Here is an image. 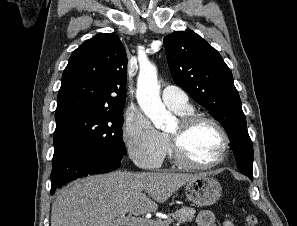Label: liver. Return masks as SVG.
<instances>
[{
    "instance_id": "6515ba94",
    "label": "liver",
    "mask_w": 297,
    "mask_h": 226,
    "mask_svg": "<svg viewBox=\"0 0 297 226\" xmlns=\"http://www.w3.org/2000/svg\"><path fill=\"white\" fill-rule=\"evenodd\" d=\"M202 175L116 171L78 179L53 202L51 226H117L120 215L155 212L158 203Z\"/></svg>"
}]
</instances>
